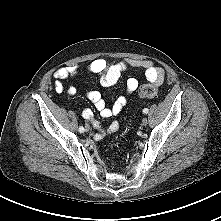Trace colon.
Here are the masks:
<instances>
[{"label": "colon", "mask_w": 221, "mask_h": 221, "mask_svg": "<svg viewBox=\"0 0 221 221\" xmlns=\"http://www.w3.org/2000/svg\"><path fill=\"white\" fill-rule=\"evenodd\" d=\"M158 94V88L153 84H145L139 88V96L142 98H154ZM111 163L114 164L115 160H111Z\"/></svg>", "instance_id": "obj_1"}]
</instances>
